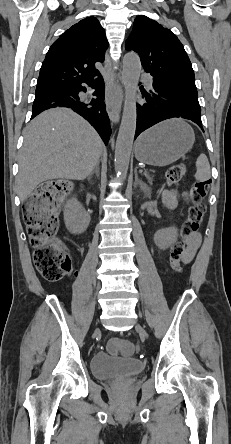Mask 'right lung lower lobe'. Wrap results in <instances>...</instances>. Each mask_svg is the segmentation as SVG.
<instances>
[{"mask_svg": "<svg viewBox=\"0 0 231 444\" xmlns=\"http://www.w3.org/2000/svg\"><path fill=\"white\" fill-rule=\"evenodd\" d=\"M101 84L93 95L96 98L84 100L78 96L80 91H86L83 83L95 88V80H84L73 82L66 85L56 86L49 89L36 91L35 100L32 108V117L34 118L42 111L53 107H68L83 116L97 130L101 138L108 144L111 128L108 115L103 103L104 92L102 79H98Z\"/></svg>", "mask_w": 231, "mask_h": 444, "instance_id": "1", "label": "right lung lower lobe"}]
</instances>
